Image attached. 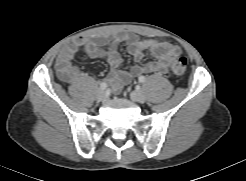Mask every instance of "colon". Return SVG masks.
I'll return each instance as SVG.
<instances>
[{"label": "colon", "mask_w": 246, "mask_h": 181, "mask_svg": "<svg viewBox=\"0 0 246 181\" xmlns=\"http://www.w3.org/2000/svg\"><path fill=\"white\" fill-rule=\"evenodd\" d=\"M170 68L172 73L178 77L182 78L186 72L187 59L185 57H176L171 60Z\"/></svg>", "instance_id": "5ec220e1"}]
</instances>
